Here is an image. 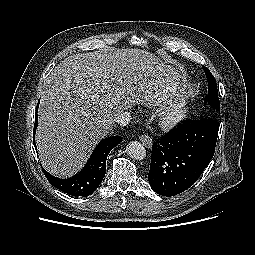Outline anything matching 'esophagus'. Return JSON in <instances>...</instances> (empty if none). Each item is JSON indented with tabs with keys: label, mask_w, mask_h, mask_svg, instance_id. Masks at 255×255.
<instances>
[{
	"label": "esophagus",
	"mask_w": 255,
	"mask_h": 255,
	"mask_svg": "<svg viewBox=\"0 0 255 255\" xmlns=\"http://www.w3.org/2000/svg\"><path fill=\"white\" fill-rule=\"evenodd\" d=\"M140 141L148 148H150L153 144L152 139L146 134L140 136Z\"/></svg>",
	"instance_id": "1"
}]
</instances>
